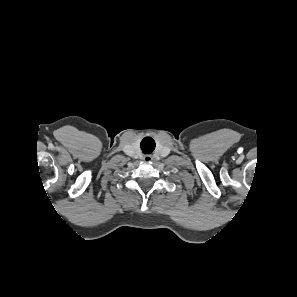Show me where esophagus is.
<instances>
[{
    "instance_id": "1",
    "label": "esophagus",
    "mask_w": 297,
    "mask_h": 297,
    "mask_svg": "<svg viewBox=\"0 0 297 297\" xmlns=\"http://www.w3.org/2000/svg\"><path fill=\"white\" fill-rule=\"evenodd\" d=\"M144 161H145V162H150V161H152V157H151L150 155H146V156L144 157Z\"/></svg>"
}]
</instances>
